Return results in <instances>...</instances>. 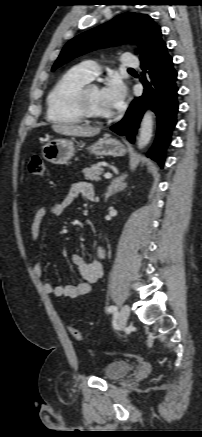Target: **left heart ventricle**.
<instances>
[{
	"instance_id": "left-heart-ventricle-1",
	"label": "left heart ventricle",
	"mask_w": 202,
	"mask_h": 437,
	"mask_svg": "<svg viewBox=\"0 0 202 437\" xmlns=\"http://www.w3.org/2000/svg\"><path fill=\"white\" fill-rule=\"evenodd\" d=\"M88 104L91 111L98 116H111V112L108 109L102 90L98 87H93L88 92Z\"/></svg>"
}]
</instances>
